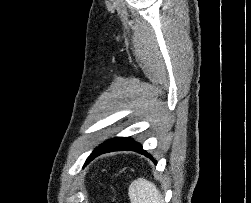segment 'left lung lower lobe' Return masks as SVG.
Wrapping results in <instances>:
<instances>
[{"label":"left lung lower lobe","mask_w":251,"mask_h":203,"mask_svg":"<svg viewBox=\"0 0 251 203\" xmlns=\"http://www.w3.org/2000/svg\"><path fill=\"white\" fill-rule=\"evenodd\" d=\"M122 150H125V151L133 150L135 152L141 153L151 158V156L148 155V153L145 150H143L142 145L134 142L130 138L120 137V138L111 139L109 142L103 145H100L98 148H96L92 152V154L88 157L86 163L90 162L92 159H94L95 157L101 154L112 152V151H122Z\"/></svg>","instance_id":"0a47b994"}]
</instances>
